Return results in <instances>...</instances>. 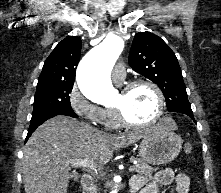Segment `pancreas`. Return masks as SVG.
<instances>
[{
	"label": "pancreas",
	"instance_id": "cf45deb5",
	"mask_svg": "<svg viewBox=\"0 0 221 193\" xmlns=\"http://www.w3.org/2000/svg\"><path fill=\"white\" fill-rule=\"evenodd\" d=\"M132 160H136L137 164L134 165V172L144 175V176H150L154 171H156L157 168L151 167L148 163L143 161L140 158H132ZM97 179L94 178L93 182L90 184V186L87 189V193H97Z\"/></svg>",
	"mask_w": 221,
	"mask_h": 193
}]
</instances>
